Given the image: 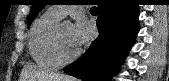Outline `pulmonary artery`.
<instances>
[{
	"mask_svg": "<svg viewBox=\"0 0 169 81\" xmlns=\"http://www.w3.org/2000/svg\"><path fill=\"white\" fill-rule=\"evenodd\" d=\"M52 9L58 12L61 16L66 15L70 10L68 6H54Z\"/></svg>",
	"mask_w": 169,
	"mask_h": 81,
	"instance_id": "pulmonary-artery-1",
	"label": "pulmonary artery"
}]
</instances>
